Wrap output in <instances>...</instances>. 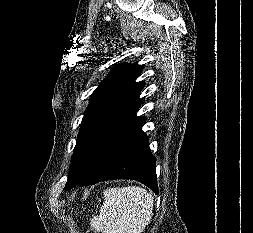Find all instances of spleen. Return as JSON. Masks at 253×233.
I'll return each mask as SVG.
<instances>
[{
	"instance_id": "obj_1",
	"label": "spleen",
	"mask_w": 253,
	"mask_h": 233,
	"mask_svg": "<svg viewBox=\"0 0 253 233\" xmlns=\"http://www.w3.org/2000/svg\"><path fill=\"white\" fill-rule=\"evenodd\" d=\"M153 197L142 187L108 188L91 227L101 233H142L151 220Z\"/></svg>"
}]
</instances>
